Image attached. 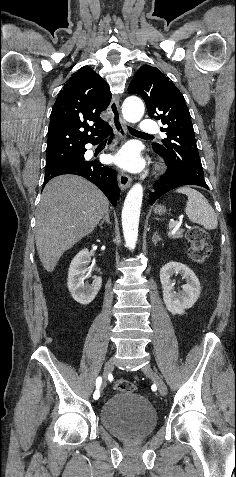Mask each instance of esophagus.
Returning <instances> with one entry per match:
<instances>
[{
  "label": "esophagus",
  "instance_id": "esophagus-1",
  "mask_svg": "<svg viewBox=\"0 0 236 477\" xmlns=\"http://www.w3.org/2000/svg\"><path fill=\"white\" fill-rule=\"evenodd\" d=\"M109 110L111 113V120L114 126V129L118 136L124 140L127 135V128L124 124L123 118L119 109V96H113L109 105ZM119 186L122 190H126L132 183V178L125 174L120 173L118 175Z\"/></svg>",
  "mask_w": 236,
  "mask_h": 477
}]
</instances>
